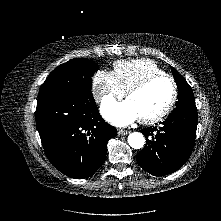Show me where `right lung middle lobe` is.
I'll return each mask as SVG.
<instances>
[{
	"label": "right lung middle lobe",
	"mask_w": 221,
	"mask_h": 221,
	"mask_svg": "<svg viewBox=\"0 0 221 221\" xmlns=\"http://www.w3.org/2000/svg\"><path fill=\"white\" fill-rule=\"evenodd\" d=\"M98 69V65L93 61L71 59L58 66L47 77L39 92L38 100L90 89L92 76Z\"/></svg>",
	"instance_id": "right-lung-middle-lobe-1"
}]
</instances>
